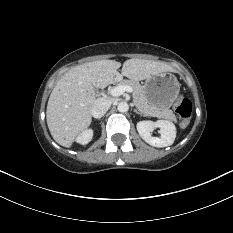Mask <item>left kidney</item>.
I'll return each instance as SVG.
<instances>
[{
  "label": "left kidney",
  "instance_id": "left-kidney-1",
  "mask_svg": "<svg viewBox=\"0 0 233 233\" xmlns=\"http://www.w3.org/2000/svg\"><path fill=\"white\" fill-rule=\"evenodd\" d=\"M137 131L141 138L151 146L162 148L173 144L176 137L175 125L167 120H150L140 121L136 125ZM155 128H160V137H153L151 132Z\"/></svg>",
  "mask_w": 233,
  "mask_h": 233
}]
</instances>
